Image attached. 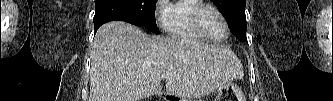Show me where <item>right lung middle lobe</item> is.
I'll return each mask as SVG.
<instances>
[{
    "instance_id": "dd1d6c3e",
    "label": "right lung middle lobe",
    "mask_w": 333,
    "mask_h": 101,
    "mask_svg": "<svg viewBox=\"0 0 333 101\" xmlns=\"http://www.w3.org/2000/svg\"><path fill=\"white\" fill-rule=\"evenodd\" d=\"M129 8L135 17L136 25L144 26L148 30L159 34L155 20V5L157 0H120ZM100 0H96V4Z\"/></svg>"
}]
</instances>
